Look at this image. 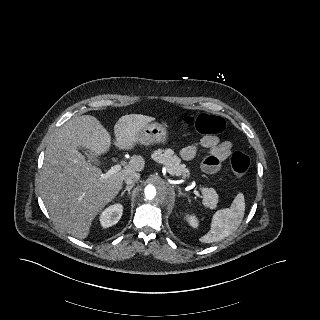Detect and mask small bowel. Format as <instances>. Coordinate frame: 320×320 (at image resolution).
Returning a JSON list of instances; mask_svg holds the SVG:
<instances>
[{
	"label": "small bowel",
	"mask_w": 320,
	"mask_h": 320,
	"mask_svg": "<svg viewBox=\"0 0 320 320\" xmlns=\"http://www.w3.org/2000/svg\"><path fill=\"white\" fill-rule=\"evenodd\" d=\"M200 149L207 151L201 168L210 175L220 171L222 164L229 158L232 153V145L229 141H221L217 135H207L197 144L185 146L180 151V156L185 161L193 160Z\"/></svg>",
	"instance_id": "c3829d8e"
}]
</instances>
